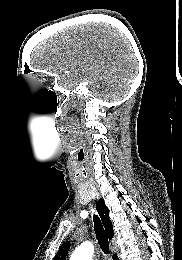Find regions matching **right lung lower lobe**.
I'll return each instance as SVG.
<instances>
[{
    "label": "right lung lower lobe",
    "mask_w": 182,
    "mask_h": 260,
    "mask_svg": "<svg viewBox=\"0 0 182 260\" xmlns=\"http://www.w3.org/2000/svg\"><path fill=\"white\" fill-rule=\"evenodd\" d=\"M113 260H119L116 254L113 255Z\"/></svg>",
    "instance_id": "98d812e1"
}]
</instances>
